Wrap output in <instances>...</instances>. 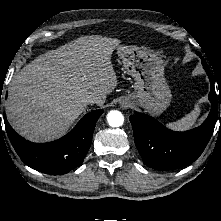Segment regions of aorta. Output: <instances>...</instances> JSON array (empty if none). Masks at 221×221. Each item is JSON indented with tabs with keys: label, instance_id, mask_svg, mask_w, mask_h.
Returning <instances> with one entry per match:
<instances>
[{
	"label": "aorta",
	"instance_id": "762f6f07",
	"mask_svg": "<svg viewBox=\"0 0 221 221\" xmlns=\"http://www.w3.org/2000/svg\"><path fill=\"white\" fill-rule=\"evenodd\" d=\"M107 121L111 127H119L123 125L124 116L120 111L112 110L107 114Z\"/></svg>",
	"mask_w": 221,
	"mask_h": 221
}]
</instances>
